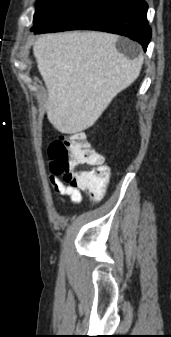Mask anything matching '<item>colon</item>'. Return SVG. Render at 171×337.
Here are the masks:
<instances>
[{
    "instance_id": "5ec220e1",
    "label": "colon",
    "mask_w": 171,
    "mask_h": 337,
    "mask_svg": "<svg viewBox=\"0 0 171 337\" xmlns=\"http://www.w3.org/2000/svg\"><path fill=\"white\" fill-rule=\"evenodd\" d=\"M48 154L51 170L62 175L64 183L89 192L94 200L103 198L110 170L84 132L60 135L51 142Z\"/></svg>"
}]
</instances>
